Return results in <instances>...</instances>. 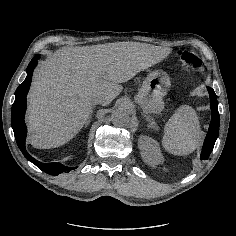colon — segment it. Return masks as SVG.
Here are the masks:
<instances>
[{"label":"colon","mask_w":236,"mask_h":236,"mask_svg":"<svg viewBox=\"0 0 236 236\" xmlns=\"http://www.w3.org/2000/svg\"><path fill=\"white\" fill-rule=\"evenodd\" d=\"M178 61L185 69L192 71L197 76H205L206 69L201 57L194 49H181L178 51Z\"/></svg>","instance_id":"1"}]
</instances>
